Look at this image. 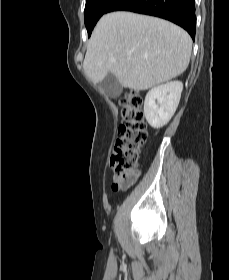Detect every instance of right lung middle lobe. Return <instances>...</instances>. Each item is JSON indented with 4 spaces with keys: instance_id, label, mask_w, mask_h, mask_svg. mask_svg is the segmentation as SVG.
<instances>
[{
    "instance_id": "right-lung-middle-lobe-1",
    "label": "right lung middle lobe",
    "mask_w": 229,
    "mask_h": 280,
    "mask_svg": "<svg viewBox=\"0 0 229 280\" xmlns=\"http://www.w3.org/2000/svg\"><path fill=\"white\" fill-rule=\"evenodd\" d=\"M113 2L114 0H86L84 16L88 36L91 35L95 24L99 18L107 12V9Z\"/></svg>"
}]
</instances>
